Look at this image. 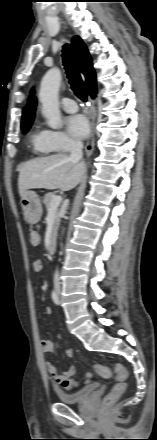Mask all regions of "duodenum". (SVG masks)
Segmentation results:
<instances>
[{
	"label": "duodenum",
	"mask_w": 157,
	"mask_h": 440,
	"mask_svg": "<svg viewBox=\"0 0 157 440\" xmlns=\"http://www.w3.org/2000/svg\"><path fill=\"white\" fill-rule=\"evenodd\" d=\"M56 237H51L48 243V252L49 254H54L56 248Z\"/></svg>",
	"instance_id": "obj_1"
}]
</instances>
